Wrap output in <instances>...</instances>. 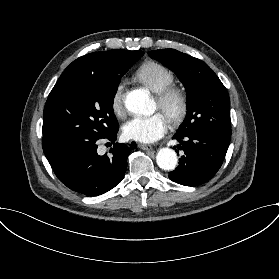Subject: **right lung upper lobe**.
Instances as JSON below:
<instances>
[{
    "label": "right lung upper lobe",
    "instance_id": "1",
    "mask_svg": "<svg viewBox=\"0 0 279 279\" xmlns=\"http://www.w3.org/2000/svg\"><path fill=\"white\" fill-rule=\"evenodd\" d=\"M127 52L132 51L115 49L90 53L73 61L65 69L64 73L89 72L92 74H101L117 64Z\"/></svg>",
    "mask_w": 279,
    "mask_h": 279
}]
</instances>
